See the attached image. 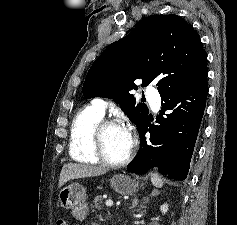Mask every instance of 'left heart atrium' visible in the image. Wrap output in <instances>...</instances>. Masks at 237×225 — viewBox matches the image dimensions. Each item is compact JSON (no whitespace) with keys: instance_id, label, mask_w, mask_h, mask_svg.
I'll return each instance as SVG.
<instances>
[{"instance_id":"39dd6f15","label":"left heart atrium","mask_w":237,"mask_h":225,"mask_svg":"<svg viewBox=\"0 0 237 225\" xmlns=\"http://www.w3.org/2000/svg\"><path fill=\"white\" fill-rule=\"evenodd\" d=\"M128 131V133H129V135H130V138H131V140H132V137H131V133H130V131L129 130H127Z\"/></svg>"}]
</instances>
